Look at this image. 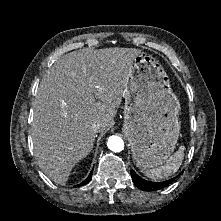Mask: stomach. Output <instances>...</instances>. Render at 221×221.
Masks as SVG:
<instances>
[{"mask_svg": "<svg viewBox=\"0 0 221 221\" xmlns=\"http://www.w3.org/2000/svg\"><path fill=\"white\" fill-rule=\"evenodd\" d=\"M123 132L136 166L159 167L174 152L180 134V103L163 66L152 55L138 54L124 87Z\"/></svg>", "mask_w": 221, "mask_h": 221, "instance_id": "stomach-1", "label": "stomach"}]
</instances>
